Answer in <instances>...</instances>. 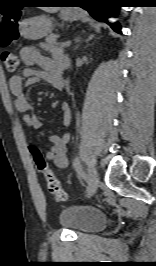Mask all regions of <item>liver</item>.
Returning <instances> with one entry per match:
<instances>
[{
    "label": "liver",
    "mask_w": 156,
    "mask_h": 266,
    "mask_svg": "<svg viewBox=\"0 0 156 266\" xmlns=\"http://www.w3.org/2000/svg\"><path fill=\"white\" fill-rule=\"evenodd\" d=\"M58 7H44L42 8L43 11L48 13H56L58 11Z\"/></svg>",
    "instance_id": "liver-1"
}]
</instances>
